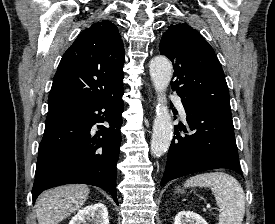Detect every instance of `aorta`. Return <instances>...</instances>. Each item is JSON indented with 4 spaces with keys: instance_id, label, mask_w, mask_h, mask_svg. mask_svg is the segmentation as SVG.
Listing matches in <instances>:
<instances>
[{
    "instance_id": "aorta-1",
    "label": "aorta",
    "mask_w": 275,
    "mask_h": 224,
    "mask_svg": "<svg viewBox=\"0 0 275 224\" xmlns=\"http://www.w3.org/2000/svg\"><path fill=\"white\" fill-rule=\"evenodd\" d=\"M172 73V64L166 57L158 56L152 59L150 76L158 101L151 139V153L154 157H160L167 152L173 137L172 119L164 94L170 83Z\"/></svg>"
}]
</instances>
